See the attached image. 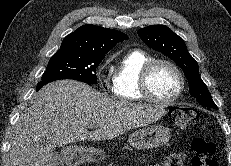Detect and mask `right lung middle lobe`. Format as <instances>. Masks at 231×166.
<instances>
[{
  "label": "right lung middle lobe",
  "instance_id": "dd1d6c3e",
  "mask_svg": "<svg viewBox=\"0 0 231 166\" xmlns=\"http://www.w3.org/2000/svg\"><path fill=\"white\" fill-rule=\"evenodd\" d=\"M104 57L70 50H58L49 60L41 81L73 79L88 84H96V69Z\"/></svg>",
  "mask_w": 231,
  "mask_h": 166
}]
</instances>
